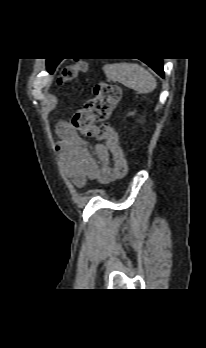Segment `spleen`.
I'll list each match as a JSON object with an SVG mask.
<instances>
[{
	"mask_svg": "<svg viewBox=\"0 0 206 348\" xmlns=\"http://www.w3.org/2000/svg\"><path fill=\"white\" fill-rule=\"evenodd\" d=\"M107 78L119 82L139 94L152 92L157 82L154 76L137 63H114L104 67Z\"/></svg>",
	"mask_w": 206,
	"mask_h": 348,
	"instance_id": "obj_1",
	"label": "spleen"
}]
</instances>
